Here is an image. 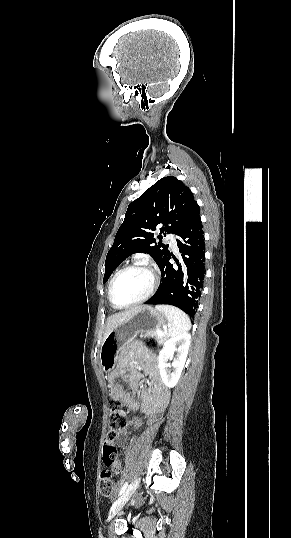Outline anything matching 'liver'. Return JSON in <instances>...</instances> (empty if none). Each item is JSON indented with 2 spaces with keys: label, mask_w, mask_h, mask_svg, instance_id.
Here are the masks:
<instances>
[{
  "label": "liver",
  "mask_w": 291,
  "mask_h": 538,
  "mask_svg": "<svg viewBox=\"0 0 291 538\" xmlns=\"http://www.w3.org/2000/svg\"><path fill=\"white\" fill-rule=\"evenodd\" d=\"M141 306L132 308L130 310H127L125 312L117 313L114 315H111L107 318L106 326H105V333L103 341L106 339V337L119 325H121L123 322L127 321L132 314H134L136 311H138Z\"/></svg>",
  "instance_id": "obj_1"
}]
</instances>
